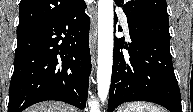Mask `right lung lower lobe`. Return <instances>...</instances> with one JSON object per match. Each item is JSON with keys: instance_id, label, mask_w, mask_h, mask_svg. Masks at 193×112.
<instances>
[{"instance_id": "right-lung-lower-lobe-1", "label": "right lung lower lobe", "mask_w": 193, "mask_h": 112, "mask_svg": "<svg viewBox=\"0 0 193 112\" xmlns=\"http://www.w3.org/2000/svg\"><path fill=\"white\" fill-rule=\"evenodd\" d=\"M86 3L35 28L17 34L8 112H21L45 100H59L83 109L91 59L90 18Z\"/></svg>"}]
</instances>
